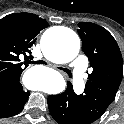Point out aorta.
<instances>
[{
  "mask_svg": "<svg viewBox=\"0 0 124 124\" xmlns=\"http://www.w3.org/2000/svg\"><path fill=\"white\" fill-rule=\"evenodd\" d=\"M42 50L47 58L59 63L73 60L80 50L78 35L71 29L61 28L56 35H44L41 41ZM27 87L32 90H43L44 86L38 76H32L27 82ZM64 84L61 83V87Z\"/></svg>",
  "mask_w": 124,
  "mask_h": 124,
  "instance_id": "762f6f07",
  "label": "aorta"
}]
</instances>
